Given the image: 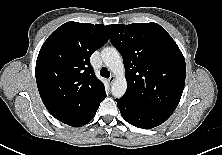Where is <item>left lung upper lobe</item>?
Masks as SVG:
<instances>
[{"mask_svg": "<svg viewBox=\"0 0 222 155\" xmlns=\"http://www.w3.org/2000/svg\"><path fill=\"white\" fill-rule=\"evenodd\" d=\"M107 29L125 66L127 91L121 99L172 115L186 76L184 56L172 37L157 23L115 24Z\"/></svg>", "mask_w": 222, "mask_h": 155, "instance_id": "1", "label": "left lung upper lobe"}]
</instances>
